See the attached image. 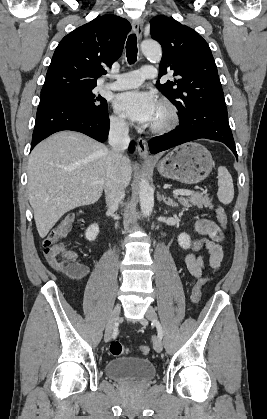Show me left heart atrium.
Instances as JSON below:
<instances>
[{
    "mask_svg": "<svg viewBox=\"0 0 267 419\" xmlns=\"http://www.w3.org/2000/svg\"><path fill=\"white\" fill-rule=\"evenodd\" d=\"M158 105L153 93L141 90L123 92L114 99V106L119 112L142 125L152 123Z\"/></svg>",
    "mask_w": 267,
    "mask_h": 419,
    "instance_id": "left-heart-atrium-1",
    "label": "left heart atrium"
}]
</instances>
